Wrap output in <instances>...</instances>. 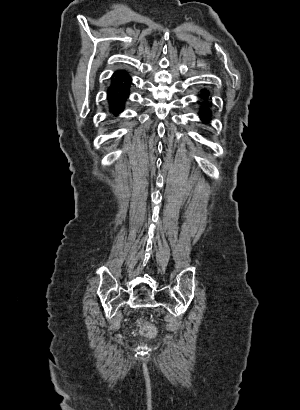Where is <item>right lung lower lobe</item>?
I'll list each match as a JSON object with an SVG mask.
<instances>
[{
  "mask_svg": "<svg viewBox=\"0 0 300 410\" xmlns=\"http://www.w3.org/2000/svg\"><path fill=\"white\" fill-rule=\"evenodd\" d=\"M132 79L123 70H119L111 77L107 88V105L109 112L114 116L119 115L125 106L130 94Z\"/></svg>",
  "mask_w": 300,
  "mask_h": 410,
  "instance_id": "98d812e1",
  "label": "right lung lower lobe"
}]
</instances>
